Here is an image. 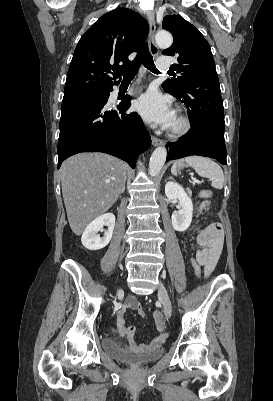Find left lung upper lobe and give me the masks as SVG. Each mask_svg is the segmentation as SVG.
Masks as SVG:
<instances>
[{
  "instance_id": "1",
  "label": "left lung upper lobe",
  "mask_w": 273,
  "mask_h": 401,
  "mask_svg": "<svg viewBox=\"0 0 273 401\" xmlns=\"http://www.w3.org/2000/svg\"><path fill=\"white\" fill-rule=\"evenodd\" d=\"M162 27L173 35V44L162 52L163 55L178 56L172 79L162 87L165 92L181 95L187 90L205 89L220 93L215 62L208 42L195 26L180 15H166Z\"/></svg>"
}]
</instances>
